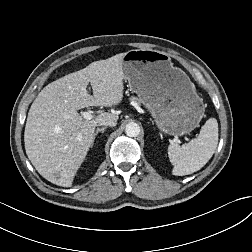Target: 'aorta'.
Listing matches in <instances>:
<instances>
[{"label":"aorta","instance_id":"1","mask_svg":"<svg viewBox=\"0 0 252 252\" xmlns=\"http://www.w3.org/2000/svg\"><path fill=\"white\" fill-rule=\"evenodd\" d=\"M125 133L129 137H137L140 134V126L137 123L131 122L126 125Z\"/></svg>","mask_w":252,"mask_h":252}]
</instances>
